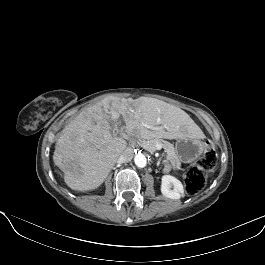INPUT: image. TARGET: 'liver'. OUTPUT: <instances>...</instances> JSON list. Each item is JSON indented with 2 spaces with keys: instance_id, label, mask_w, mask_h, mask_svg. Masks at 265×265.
Masks as SVG:
<instances>
[{
  "instance_id": "obj_1",
  "label": "liver",
  "mask_w": 265,
  "mask_h": 265,
  "mask_svg": "<svg viewBox=\"0 0 265 265\" xmlns=\"http://www.w3.org/2000/svg\"><path fill=\"white\" fill-rule=\"evenodd\" d=\"M120 115L128 128L138 126L146 137H203L190 116L176 106L154 98L107 97L80 112L57 139L53 161L64 172L69 188L93 190L105 181L127 147L123 138L112 133L110 122Z\"/></svg>"
}]
</instances>
